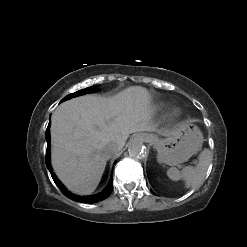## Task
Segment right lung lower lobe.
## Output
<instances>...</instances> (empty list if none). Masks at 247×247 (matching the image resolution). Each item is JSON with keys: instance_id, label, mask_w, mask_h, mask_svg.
Masks as SVG:
<instances>
[{"instance_id": "obj_1", "label": "right lung lower lobe", "mask_w": 247, "mask_h": 247, "mask_svg": "<svg viewBox=\"0 0 247 247\" xmlns=\"http://www.w3.org/2000/svg\"><path fill=\"white\" fill-rule=\"evenodd\" d=\"M51 122V119H50ZM50 122L49 125L47 127L46 130V141H47V151H46V166L49 169L51 176L55 182V184L59 187V189L61 190V192L67 196L68 198L76 201V202H81V203H95L101 200L106 199L112 192L113 190V181H112V177L110 179V182L108 184V186L105 188L104 191L96 194V195H92V196H77L73 193H71L70 191H68L65 186L57 179V177L55 176V174L53 173L52 169H51V165H50V133H49V126H50Z\"/></svg>"}]
</instances>
